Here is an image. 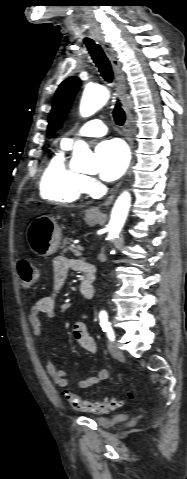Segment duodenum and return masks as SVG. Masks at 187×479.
Returning a JSON list of instances; mask_svg holds the SVG:
<instances>
[{
    "instance_id": "1",
    "label": "duodenum",
    "mask_w": 187,
    "mask_h": 479,
    "mask_svg": "<svg viewBox=\"0 0 187 479\" xmlns=\"http://www.w3.org/2000/svg\"><path fill=\"white\" fill-rule=\"evenodd\" d=\"M93 280H94V269L87 270L86 278L79 285L80 292L85 299H91L94 296L95 286H94Z\"/></svg>"
}]
</instances>
